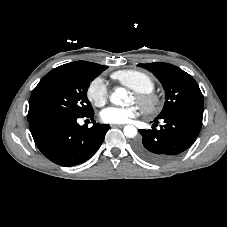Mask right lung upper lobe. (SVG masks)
Segmentation results:
<instances>
[{
	"mask_svg": "<svg viewBox=\"0 0 227 227\" xmlns=\"http://www.w3.org/2000/svg\"><path fill=\"white\" fill-rule=\"evenodd\" d=\"M75 64H87V63H91V62H86V61H77V62H72Z\"/></svg>",
	"mask_w": 227,
	"mask_h": 227,
	"instance_id": "obj_1",
	"label": "right lung upper lobe"
}]
</instances>
